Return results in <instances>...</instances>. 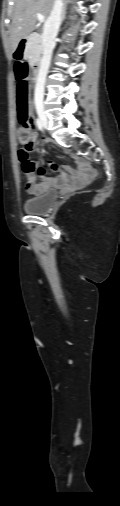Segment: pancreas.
Here are the masks:
<instances>
[{
    "label": "pancreas",
    "mask_w": 120,
    "mask_h": 506,
    "mask_svg": "<svg viewBox=\"0 0 120 506\" xmlns=\"http://www.w3.org/2000/svg\"><path fill=\"white\" fill-rule=\"evenodd\" d=\"M42 53V37L38 34H32L26 45L25 57L29 60V62L35 63L41 59Z\"/></svg>",
    "instance_id": "cf45deb5"
}]
</instances>
